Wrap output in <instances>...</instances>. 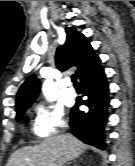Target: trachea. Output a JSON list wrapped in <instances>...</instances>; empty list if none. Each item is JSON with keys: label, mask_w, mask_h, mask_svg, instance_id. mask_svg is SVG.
I'll return each mask as SVG.
<instances>
[{"label": "trachea", "mask_w": 135, "mask_h": 166, "mask_svg": "<svg viewBox=\"0 0 135 166\" xmlns=\"http://www.w3.org/2000/svg\"><path fill=\"white\" fill-rule=\"evenodd\" d=\"M71 79H72V82L74 83V85H79V83L77 82V75L76 74H73Z\"/></svg>", "instance_id": "obj_1"}]
</instances>
